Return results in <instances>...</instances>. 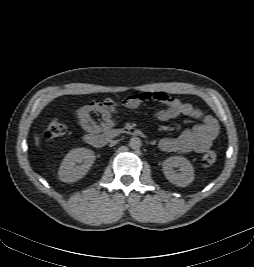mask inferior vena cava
Listing matches in <instances>:
<instances>
[{
    "mask_svg": "<svg viewBox=\"0 0 254 267\" xmlns=\"http://www.w3.org/2000/svg\"><path fill=\"white\" fill-rule=\"evenodd\" d=\"M117 142H118L117 140H113V141L110 142V145L109 146L112 147V146L116 145Z\"/></svg>",
    "mask_w": 254,
    "mask_h": 267,
    "instance_id": "602c4592",
    "label": "inferior vena cava"
}]
</instances>
